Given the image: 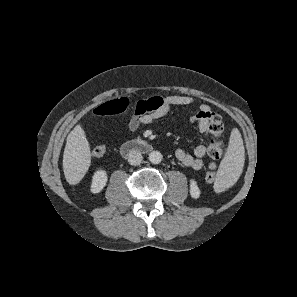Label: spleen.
Here are the masks:
<instances>
[{
  "label": "spleen",
  "mask_w": 297,
  "mask_h": 297,
  "mask_svg": "<svg viewBox=\"0 0 297 297\" xmlns=\"http://www.w3.org/2000/svg\"><path fill=\"white\" fill-rule=\"evenodd\" d=\"M244 145L241 134L237 128L231 132L229 146L223 158L218 179L220 185L229 187L239 178L244 166Z\"/></svg>",
  "instance_id": "obj_1"
}]
</instances>
